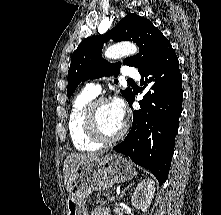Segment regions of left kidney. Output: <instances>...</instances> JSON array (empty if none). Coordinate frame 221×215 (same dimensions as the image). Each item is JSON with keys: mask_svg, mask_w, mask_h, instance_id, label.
Returning a JSON list of instances; mask_svg holds the SVG:
<instances>
[{"mask_svg": "<svg viewBox=\"0 0 221 215\" xmlns=\"http://www.w3.org/2000/svg\"><path fill=\"white\" fill-rule=\"evenodd\" d=\"M154 193L155 181L152 178H146L142 180L133 193L131 199L132 205L135 208L146 212L152 202Z\"/></svg>", "mask_w": 221, "mask_h": 215, "instance_id": "1", "label": "left kidney"}]
</instances>
